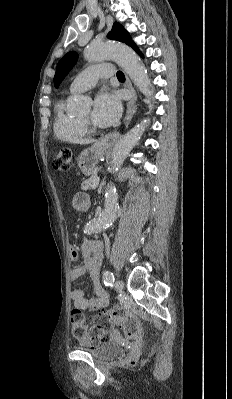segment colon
<instances>
[{"label": "colon", "mask_w": 232, "mask_h": 399, "mask_svg": "<svg viewBox=\"0 0 232 399\" xmlns=\"http://www.w3.org/2000/svg\"><path fill=\"white\" fill-rule=\"evenodd\" d=\"M53 165L73 174V154H70V150L61 151V155L57 154L56 160H53ZM83 315V311H74L71 315V338H79L82 347H94L95 341H103L101 335H114L111 324H122L125 337H140L143 331V321L138 313H130V308H115V313H100V317H95L94 322L85 324H82ZM138 346V340H130L125 351L138 353Z\"/></svg>", "instance_id": "colon-1"}]
</instances>
